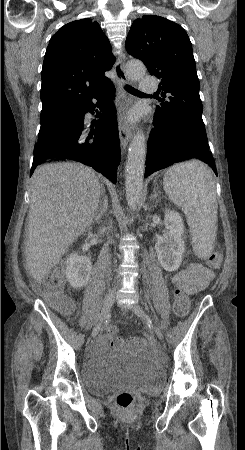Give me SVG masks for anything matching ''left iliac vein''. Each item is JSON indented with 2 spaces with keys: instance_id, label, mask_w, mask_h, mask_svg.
<instances>
[{
  "instance_id": "1",
  "label": "left iliac vein",
  "mask_w": 245,
  "mask_h": 450,
  "mask_svg": "<svg viewBox=\"0 0 245 450\" xmlns=\"http://www.w3.org/2000/svg\"><path fill=\"white\" fill-rule=\"evenodd\" d=\"M131 310H132V312H133L136 316H138L140 319L148 320L147 315H146L144 309H143L139 304H136V303L133 304V305L131 306ZM153 328H154V331H155L156 336H157L159 339H163V334H162L161 329H160L159 327H157L156 325H154Z\"/></svg>"
}]
</instances>
